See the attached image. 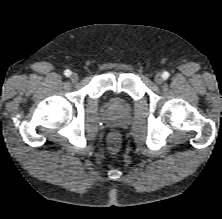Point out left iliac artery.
<instances>
[{
    "label": "left iliac artery",
    "instance_id": "obj_1",
    "mask_svg": "<svg viewBox=\"0 0 222 219\" xmlns=\"http://www.w3.org/2000/svg\"><path fill=\"white\" fill-rule=\"evenodd\" d=\"M169 73L168 72H163V74H162V77H163V79H167L168 77H169Z\"/></svg>",
    "mask_w": 222,
    "mask_h": 219
}]
</instances>
